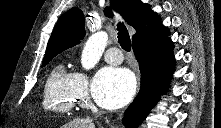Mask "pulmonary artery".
I'll list each match as a JSON object with an SVG mask.
<instances>
[{
  "mask_svg": "<svg viewBox=\"0 0 221 128\" xmlns=\"http://www.w3.org/2000/svg\"><path fill=\"white\" fill-rule=\"evenodd\" d=\"M104 59L109 64L118 65L123 61V55L118 47H111L105 52Z\"/></svg>",
  "mask_w": 221,
  "mask_h": 128,
  "instance_id": "obj_1",
  "label": "pulmonary artery"
}]
</instances>
